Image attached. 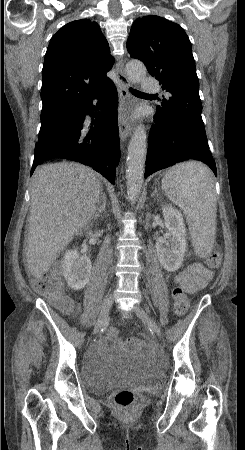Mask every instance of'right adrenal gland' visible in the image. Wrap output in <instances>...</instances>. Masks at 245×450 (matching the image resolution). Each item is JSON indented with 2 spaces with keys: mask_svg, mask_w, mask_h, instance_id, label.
I'll return each mask as SVG.
<instances>
[{
  "mask_svg": "<svg viewBox=\"0 0 245 450\" xmlns=\"http://www.w3.org/2000/svg\"><path fill=\"white\" fill-rule=\"evenodd\" d=\"M106 199H107L106 195L102 191L101 192V196H100V200H99V203H98L99 207L97 209V212L95 213V219H97L102 214V212H104L106 210Z\"/></svg>",
  "mask_w": 245,
  "mask_h": 450,
  "instance_id": "right-adrenal-gland-1",
  "label": "right adrenal gland"
}]
</instances>
